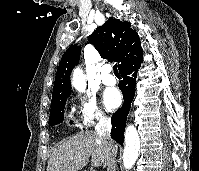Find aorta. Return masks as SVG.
<instances>
[{
  "label": "aorta",
  "mask_w": 199,
  "mask_h": 171,
  "mask_svg": "<svg viewBox=\"0 0 199 171\" xmlns=\"http://www.w3.org/2000/svg\"><path fill=\"white\" fill-rule=\"evenodd\" d=\"M72 84L79 92H83L86 87L85 78L81 69L73 71ZM140 148L139 135L133 125H129L125 131V148L123 154V165L126 170L133 167L138 158Z\"/></svg>",
  "instance_id": "1"
}]
</instances>
